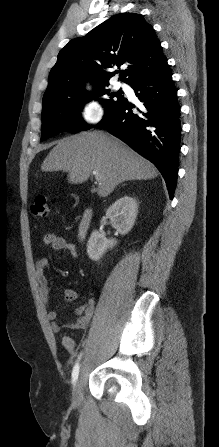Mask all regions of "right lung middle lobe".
<instances>
[{"label": "right lung middle lobe", "instance_id": "obj_1", "mask_svg": "<svg viewBox=\"0 0 219 447\" xmlns=\"http://www.w3.org/2000/svg\"><path fill=\"white\" fill-rule=\"evenodd\" d=\"M108 85L95 88L91 94L52 95L43 98L41 140L61 132L88 130L90 127L82 121L79 111L93 97H100L98 100L102 103L105 114L125 100L121 92L110 93ZM104 96L110 97L104 98Z\"/></svg>", "mask_w": 219, "mask_h": 447}]
</instances>
